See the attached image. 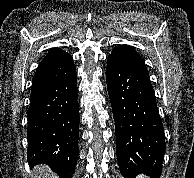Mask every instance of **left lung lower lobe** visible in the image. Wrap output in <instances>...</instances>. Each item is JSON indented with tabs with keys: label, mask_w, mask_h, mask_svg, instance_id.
<instances>
[{
	"label": "left lung lower lobe",
	"mask_w": 194,
	"mask_h": 178,
	"mask_svg": "<svg viewBox=\"0 0 194 178\" xmlns=\"http://www.w3.org/2000/svg\"><path fill=\"white\" fill-rule=\"evenodd\" d=\"M106 82L122 175L135 178L144 173L159 178L165 136L149 74L108 57Z\"/></svg>",
	"instance_id": "obj_1"
}]
</instances>
